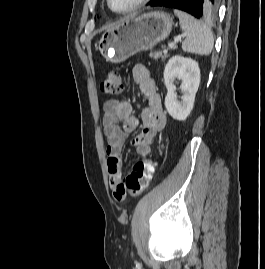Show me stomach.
Masks as SVG:
<instances>
[{"mask_svg":"<svg viewBox=\"0 0 265 269\" xmlns=\"http://www.w3.org/2000/svg\"><path fill=\"white\" fill-rule=\"evenodd\" d=\"M173 26V17L164 11H152L128 18L102 35L98 48L112 63H121L132 55L152 49L166 39Z\"/></svg>","mask_w":265,"mask_h":269,"instance_id":"stomach-1","label":"stomach"}]
</instances>
